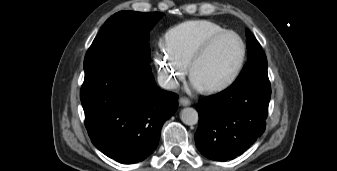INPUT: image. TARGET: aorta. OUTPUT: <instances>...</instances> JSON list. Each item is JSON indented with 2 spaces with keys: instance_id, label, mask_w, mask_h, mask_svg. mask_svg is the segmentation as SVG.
Here are the masks:
<instances>
[{
  "instance_id": "1",
  "label": "aorta",
  "mask_w": 337,
  "mask_h": 171,
  "mask_svg": "<svg viewBox=\"0 0 337 171\" xmlns=\"http://www.w3.org/2000/svg\"><path fill=\"white\" fill-rule=\"evenodd\" d=\"M180 118L186 125H195L198 123V112L194 108H184L181 111Z\"/></svg>"
}]
</instances>
